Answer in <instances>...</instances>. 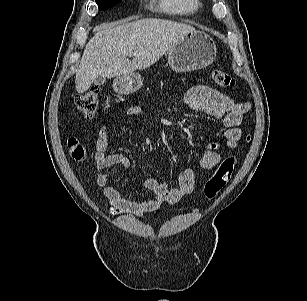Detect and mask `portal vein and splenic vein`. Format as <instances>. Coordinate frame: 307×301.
Masks as SVG:
<instances>
[{
  "label": "portal vein and splenic vein",
  "instance_id": "obj_1",
  "mask_svg": "<svg viewBox=\"0 0 307 301\" xmlns=\"http://www.w3.org/2000/svg\"><path fill=\"white\" fill-rule=\"evenodd\" d=\"M135 55H136L135 52H131V53L129 54V56H135Z\"/></svg>",
  "mask_w": 307,
  "mask_h": 301
}]
</instances>
